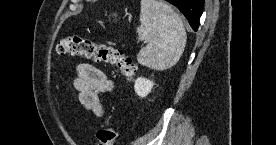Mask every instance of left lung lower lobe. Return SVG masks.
Here are the masks:
<instances>
[{"mask_svg":"<svg viewBox=\"0 0 276 145\" xmlns=\"http://www.w3.org/2000/svg\"><path fill=\"white\" fill-rule=\"evenodd\" d=\"M175 5L188 19L193 30L199 27V19L202 15L204 0H166Z\"/></svg>","mask_w":276,"mask_h":145,"instance_id":"0a47b994","label":"left lung lower lobe"}]
</instances>
